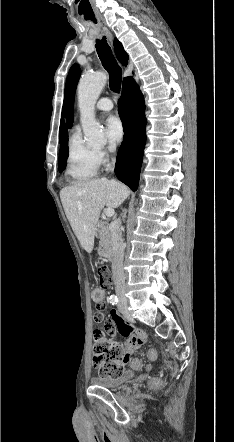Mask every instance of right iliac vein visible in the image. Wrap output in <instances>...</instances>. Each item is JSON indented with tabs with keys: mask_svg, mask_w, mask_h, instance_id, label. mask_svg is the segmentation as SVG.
Instances as JSON below:
<instances>
[{
	"mask_svg": "<svg viewBox=\"0 0 234 442\" xmlns=\"http://www.w3.org/2000/svg\"><path fill=\"white\" fill-rule=\"evenodd\" d=\"M122 306V312L127 314V304L126 303H121Z\"/></svg>",
	"mask_w": 234,
	"mask_h": 442,
	"instance_id": "obj_1",
	"label": "right iliac vein"
}]
</instances>
